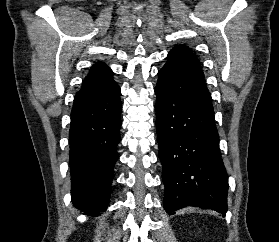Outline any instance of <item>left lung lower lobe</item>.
Wrapping results in <instances>:
<instances>
[{
  "label": "left lung lower lobe",
  "instance_id": "0a47b994",
  "mask_svg": "<svg viewBox=\"0 0 279 242\" xmlns=\"http://www.w3.org/2000/svg\"><path fill=\"white\" fill-rule=\"evenodd\" d=\"M167 58L155 88L164 210L196 206L225 215L228 178L204 74L184 55Z\"/></svg>",
  "mask_w": 279,
  "mask_h": 242
}]
</instances>
